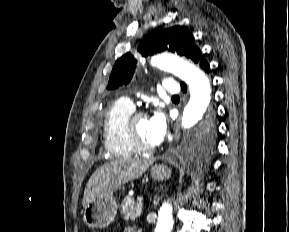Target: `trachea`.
Wrapping results in <instances>:
<instances>
[{
	"label": "trachea",
	"mask_w": 289,
	"mask_h": 232,
	"mask_svg": "<svg viewBox=\"0 0 289 232\" xmlns=\"http://www.w3.org/2000/svg\"><path fill=\"white\" fill-rule=\"evenodd\" d=\"M172 98H179V96L178 95H174Z\"/></svg>",
	"instance_id": "3493384b"
}]
</instances>
